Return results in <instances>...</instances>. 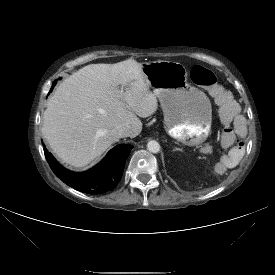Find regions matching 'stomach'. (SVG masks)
Masks as SVG:
<instances>
[{"label": "stomach", "instance_id": "stomach-1", "mask_svg": "<svg viewBox=\"0 0 275 275\" xmlns=\"http://www.w3.org/2000/svg\"><path fill=\"white\" fill-rule=\"evenodd\" d=\"M142 73L161 104L165 131L185 145L202 144L211 131L212 107L206 94L187 82L186 68L159 60L143 63Z\"/></svg>", "mask_w": 275, "mask_h": 275}]
</instances>
